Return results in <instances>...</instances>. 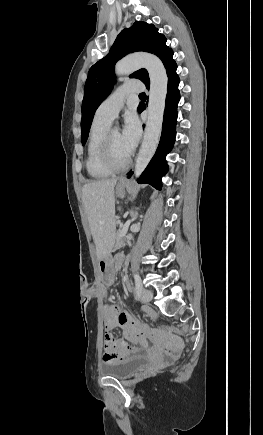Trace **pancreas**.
<instances>
[{
	"instance_id": "cf45deb5",
	"label": "pancreas",
	"mask_w": 263,
	"mask_h": 435,
	"mask_svg": "<svg viewBox=\"0 0 263 435\" xmlns=\"http://www.w3.org/2000/svg\"><path fill=\"white\" fill-rule=\"evenodd\" d=\"M120 231H121V229H119V230L117 231V237H116V243H115V248H116V249L121 248V247H123V246L125 245V242H124V241H125L126 238H127V239L131 238V235H128V236H126L125 238L119 236Z\"/></svg>"
}]
</instances>
